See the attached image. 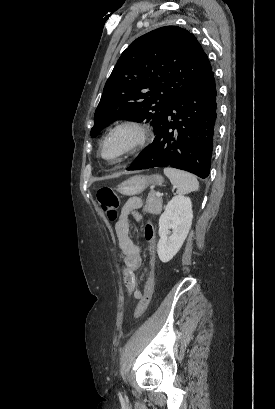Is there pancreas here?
<instances>
[{
    "mask_svg": "<svg viewBox=\"0 0 275 409\" xmlns=\"http://www.w3.org/2000/svg\"><path fill=\"white\" fill-rule=\"evenodd\" d=\"M144 211H146V213H152V215H160L162 211V198L161 196H157L154 190L148 192Z\"/></svg>",
    "mask_w": 275,
    "mask_h": 409,
    "instance_id": "cf45deb5",
    "label": "pancreas"
}]
</instances>
